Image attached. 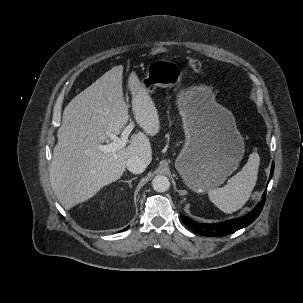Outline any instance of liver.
Masks as SVG:
<instances>
[{
  "instance_id": "obj_1",
  "label": "liver",
  "mask_w": 303,
  "mask_h": 303,
  "mask_svg": "<svg viewBox=\"0 0 303 303\" xmlns=\"http://www.w3.org/2000/svg\"><path fill=\"white\" fill-rule=\"evenodd\" d=\"M122 74V65L113 67L73 98L63 111L50 167V182L66 210L118 180L129 158L140 156L151 162L152 149L147 135L158 134L159 115L135 72L129 75L128 87L135 120L145 133L133 134L130 144L114 153H103L97 147L111 139L109 134H120L129 120Z\"/></svg>"
}]
</instances>
